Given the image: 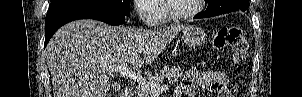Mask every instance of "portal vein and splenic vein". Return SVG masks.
Listing matches in <instances>:
<instances>
[{
    "label": "portal vein and splenic vein",
    "instance_id": "18ae733b",
    "mask_svg": "<svg viewBox=\"0 0 302 97\" xmlns=\"http://www.w3.org/2000/svg\"><path fill=\"white\" fill-rule=\"evenodd\" d=\"M104 69H105V71H107L109 73L116 72L124 77L137 81L139 84L147 87L150 90L151 94H159L163 90V88L159 84L147 81L145 78L142 77V75L129 69L126 63H121V64H117V65H109V66L105 67Z\"/></svg>",
    "mask_w": 302,
    "mask_h": 97
}]
</instances>
